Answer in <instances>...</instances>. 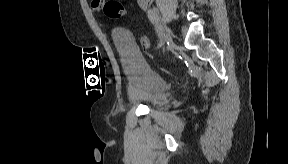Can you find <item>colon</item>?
I'll return each instance as SVG.
<instances>
[{"label": "colon", "instance_id": "obj_1", "mask_svg": "<svg viewBox=\"0 0 288 164\" xmlns=\"http://www.w3.org/2000/svg\"><path fill=\"white\" fill-rule=\"evenodd\" d=\"M104 11L106 15L111 19H116L124 15L125 10L121 3L117 1H110L104 6ZM140 42L145 48L153 46V43L149 42V39L145 36L140 37ZM143 52H146V55H151V52H148V49H143Z\"/></svg>", "mask_w": 288, "mask_h": 164}]
</instances>
